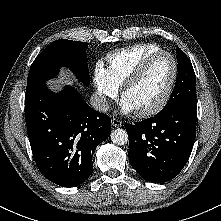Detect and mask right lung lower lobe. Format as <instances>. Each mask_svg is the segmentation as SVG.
<instances>
[{
  "label": "right lung lower lobe",
  "instance_id": "right-lung-lower-lobe-1",
  "mask_svg": "<svg viewBox=\"0 0 221 221\" xmlns=\"http://www.w3.org/2000/svg\"><path fill=\"white\" fill-rule=\"evenodd\" d=\"M25 113L40 172L64 187L88 179L93 152L110 135V117L92 109L74 87L66 86L55 94L45 84L25 94Z\"/></svg>",
  "mask_w": 221,
  "mask_h": 221
}]
</instances>
